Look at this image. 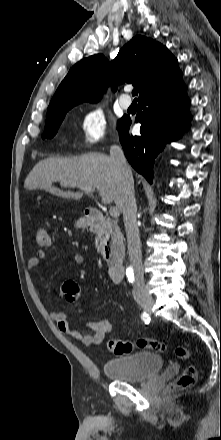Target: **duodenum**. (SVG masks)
Masks as SVG:
<instances>
[{
	"label": "duodenum",
	"mask_w": 221,
	"mask_h": 440,
	"mask_svg": "<svg viewBox=\"0 0 221 440\" xmlns=\"http://www.w3.org/2000/svg\"><path fill=\"white\" fill-rule=\"evenodd\" d=\"M86 218L89 223V227L91 229H101L106 224L105 217L98 211L91 210L86 214ZM108 258V257H107ZM109 261L112 262L110 268H109V276L114 282H120L123 280L125 275V269L123 264L118 263L117 261L113 260L111 257L108 258Z\"/></svg>",
	"instance_id": "duodenum-1"
}]
</instances>
